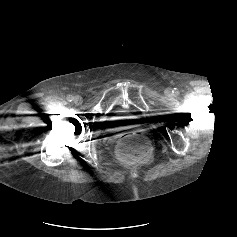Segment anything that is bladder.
<instances>
[{"instance_id":"31cf9c89","label":"bladder","mask_w":237,"mask_h":237,"mask_svg":"<svg viewBox=\"0 0 237 237\" xmlns=\"http://www.w3.org/2000/svg\"><path fill=\"white\" fill-rule=\"evenodd\" d=\"M139 122L136 115L115 113L109 116L105 122V130L115 131L124 127L135 126Z\"/></svg>"}]
</instances>
